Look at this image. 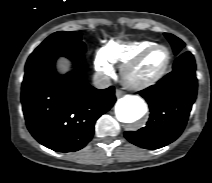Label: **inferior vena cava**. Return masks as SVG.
Wrapping results in <instances>:
<instances>
[{"mask_svg": "<svg viewBox=\"0 0 212 183\" xmlns=\"http://www.w3.org/2000/svg\"><path fill=\"white\" fill-rule=\"evenodd\" d=\"M93 84L98 89H105L111 85V81L108 76L98 72L93 77Z\"/></svg>", "mask_w": 212, "mask_h": 183, "instance_id": "1", "label": "inferior vena cava"}]
</instances>
